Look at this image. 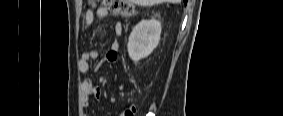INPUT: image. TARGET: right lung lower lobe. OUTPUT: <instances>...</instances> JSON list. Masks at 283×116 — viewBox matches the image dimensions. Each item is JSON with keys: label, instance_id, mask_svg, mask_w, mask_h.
Here are the masks:
<instances>
[{"label": "right lung lower lobe", "instance_id": "98d812e1", "mask_svg": "<svg viewBox=\"0 0 283 116\" xmlns=\"http://www.w3.org/2000/svg\"><path fill=\"white\" fill-rule=\"evenodd\" d=\"M184 3L186 4V3H187V0H184Z\"/></svg>", "mask_w": 283, "mask_h": 116}]
</instances>
